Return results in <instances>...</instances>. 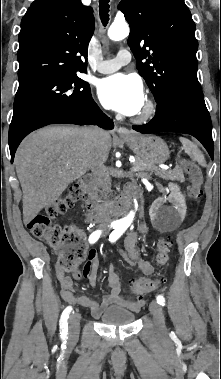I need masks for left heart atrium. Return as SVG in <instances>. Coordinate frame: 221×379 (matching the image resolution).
Masks as SVG:
<instances>
[{"instance_id":"39dd6f15","label":"left heart atrium","mask_w":221,"mask_h":379,"mask_svg":"<svg viewBox=\"0 0 221 379\" xmlns=\"http://www.w3.org/2000/svg\"><path fill=\"white\" fill-rule=\"evenodd\" d=\"M98 96L105 107L127 116L139 113L145 101L141 81L121 73L101 80Z\"/></svg>"}]
</instances>
